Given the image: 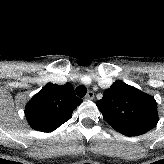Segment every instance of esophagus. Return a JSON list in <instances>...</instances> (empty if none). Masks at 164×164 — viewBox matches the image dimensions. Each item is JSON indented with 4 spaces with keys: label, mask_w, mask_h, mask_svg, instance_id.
<instances>
[{
    "label": "esophagus",
    "mask_w": 164,
    "mask_h": 164,
    "mask_svg": "<svg viewBox=\"0 0 164 164\" xmlns=\"http://www.w3.org/2000/svg\"><path fill=\"white\" fill-rule=\"evenodd\" d=\"M86 100H93L94 99V92L93 91H89L86 96H85Z\"/></svg>",
    "instance_id": "obj_1"
}]
</instances>
